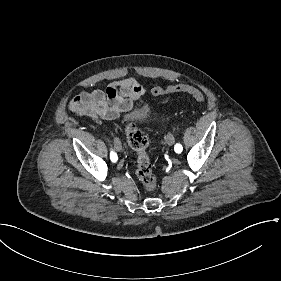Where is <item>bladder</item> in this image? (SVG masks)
<instances>
[{"label":"bladder","mask_w":281,"mask_h":281,"mask_svg":"<svg viewBox=\"0 0 281 281\" xmlns=\"http://www.w3.org/2000/svg\"><path fill=\"white\" fill-rule=\"evenodd\" d=\"M153 109L149 102H140L124 110L121 117V128L128 130L130 124L150 126L153 123Z\"/></svg>","instance_id":"31cf9c89"}]
</instances>
